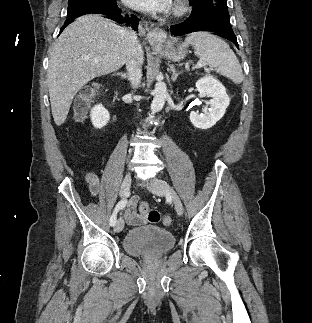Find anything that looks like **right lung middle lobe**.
<instances>
[{"label":"right lung middle lobe","instance_id":"right-lung-middle-lobe-1","mask_svg":"<svg viewBox=\"0 0 312 323\" xmlns=\"http://www.w3.org/2000/svg\"><path fill=\"white\" fill-rule=\"evenodd\" d=\"M115 7H117L116 0H69L67 16L84 9Z\"/></svg>","mask_w":312,"mask_h":323}]
</instances>
